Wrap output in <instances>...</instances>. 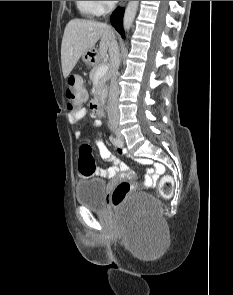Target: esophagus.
I'll return each mask as SVG.
<instances>
[{"instance_id":"obj_1","label":"esophagus","mask_w":233,"mask_h":295,"mask_svg":"<svg viewBox=\"0 0 233 295\" xmlns=\"http://www.w3.org/2000/svg\"><path fill=\"white\" fill-rule=\"evenodd\" d=\"M126 3V1H122V6Z\"/></svg>"}]
</instances>
